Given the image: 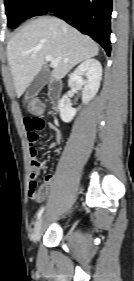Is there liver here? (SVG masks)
<instances>
[{"instance_id": "obj_1", "label": "liver", "mask_w": 134, "mask_h": 281, "mask_svg": "<svg viewBox=\"0 0 134 281\" xmlns=\"http://www.w3.org/2000/svg\"><path fill=\"white\" fill-rule=\"evenodd\" d=\"M99 53L98 44L61 19L42 16L26 24L7 45V59L20 97L41 71L45 57L59 59L51 75L60 80L78 63Z\"/></svg>"}]
</instances>
